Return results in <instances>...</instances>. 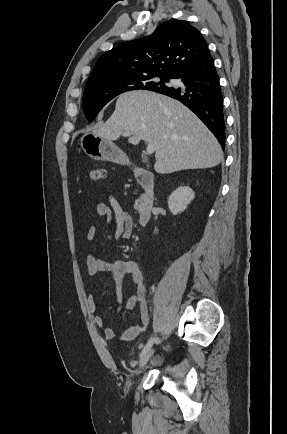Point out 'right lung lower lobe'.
<instances>
[{"mask_svg":"<svg viewBox=\"0 0 287 434\" xmlns=\"http://www.w3.org/2000/svg\"><path fill=\"white\" fill-rule=\"evenodd\" d=\"M183 85L156 91L179 100L210 129L224 148L225 118L219 77L210 53L184 68L175 77Z\"/></svg>","mask_w":287,"mask_h":434,"instance_id":"obj_1","label":"right lung lower lobe"}]
</instances>
